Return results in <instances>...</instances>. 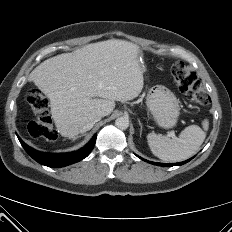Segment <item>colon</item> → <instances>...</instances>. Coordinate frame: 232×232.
<instances>
[{
	"label": "colon",
	"mask_w": 232,
	"mask_h": 232,
	"mask_svg": "<svg viewBox=\"0 0 232 232\" xmlns=\"http://www.w3.org/2000/svg\"><path fill=\"white\" fill-rule=\"evenodd\" d=\"M173 82L180 92L191 101L198 104L209 102V96L204 90L202 81L196 73L182 62H176L171 67ZM26 100L32 108L35 118L29 123L28 133L32 138H42L49 141L57 139L48 115V99L37 88H31L26 94Z\"/></svg>",
	"instance_id": "obj_1"
}]
</instances>
